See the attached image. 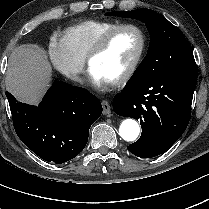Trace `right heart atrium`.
<instances>
[{"label": "right heart atrium", "instance_id": "right-heart-atrium-1", "mask_svg": "<svg viewBox=\"0 0 209 209\" xmlns=\"http://www.w3.org/2000/svg\"><path fill=\"white\" fill-rule=\"evenodd\" d=\"M48 56L51 64L65 77L82 81L84 60L77 57L63 36L54 35L49 43Z\"/></svg>", "mask_w": 209, "mask_h": 209}]
</instances>
